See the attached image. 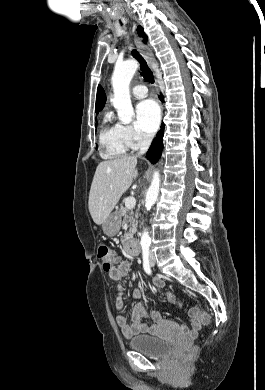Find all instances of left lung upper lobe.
I'll return each mask as SVG.
<instances>
[{
    "mask_svg": "<svg viewBox=\"0 0 265 390\" xmlns=\"http://www.w3.org/2000/svg\"><path fill=\"white\" fill-rule=\"evenodd\" d=\"M137 32H138L140 37H144L145 38L144 42H146L147 41V36L145 35L144 30H143V28L141 26H138Z\"/></svg>",
    "mask_w": 265,
    "mask_h": 390,
    "instance_id": "left-lung-upper-lobe-1",
    "label": "left lung upper lobe"
}]
</instances>
